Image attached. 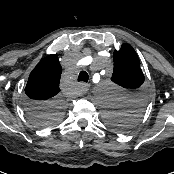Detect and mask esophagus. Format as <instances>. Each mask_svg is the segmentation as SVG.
<instances>
[{"label": "esophagus", "instance_id": "1", "mask_svg": "<svg viewBox=\"0 0 174 174\" xmlns=\"http://www.w3.org/2000/svg\"><path fill=\"white\" fill-rule=\"evenodd\" d=\"M81 88H82V91L84 93H86L89 90L90 85L89 84H86V83H82Z\"/></svg>", "mask_w": 174, "mask_h": 174}]
</instances>
